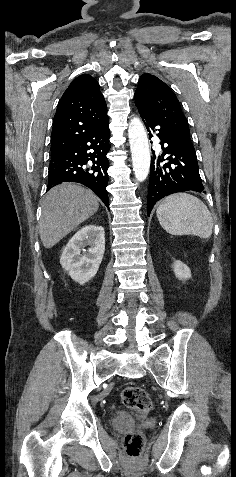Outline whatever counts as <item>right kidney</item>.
Returning a JSON list of instances; mask_svg holds the SVG:
<instances>
[{"label": "right kidney", "mask_w": 236, "mask_h": 477, "mask_svg": "<svg viewBox=\"0 0 236 477\" xmlns=\"http://www.w3.org/2000/svg\"><path fill=\"white\" fill-rule=\"evenodd\" d=\"M89 246L88 250L84 247ZM105 251V232L102 226L81 228L67 243L60 264L79 284H85L97 273Z\"/></svg>", "instance_id": "obj_1"}]
</instances>
